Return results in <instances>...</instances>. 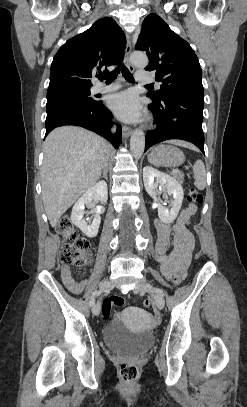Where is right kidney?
I'll return each mask as SVG.
<instances>
[{
  "label": "right kidney",
  "instance_id": "ca27d5eb",
  "mask_svg": "<svg viewBox=\"0 0 247 407\" xmlns=\"http://www.w3.org/2000/svg\"><path fill=\"white\" fill-rule=\"evenodd\" d=\"M108 199L107 184L100 181L87 190L75 203L71 213V221L76 225L87 237L94 238L98 234L101 217L100 214L94 213L92 222L83 219L85 214V205L92 206L94 201L106 203Z\"/></svg>",
  "mask_w": 247,
  "mask_h": 407
}]
</instances>
